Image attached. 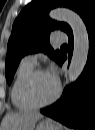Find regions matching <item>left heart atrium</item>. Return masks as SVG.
<instances>
[{
	"label": "left heart atrium",
	"instance_id": "39dd6f15",
	"mask_svg": "<svg viewBox=\"0 0 95 130\" xmlns=\"http://www.w3.org/2000/svg\"><path fill=\"white\" fill-rule=\"evenodd\" d=\"M47 74L56 81V73L53 67H51L49 71H47Z\"/></svg>",
	"mask_w": 95,
	"mask_h": 130
}]
</instances>
